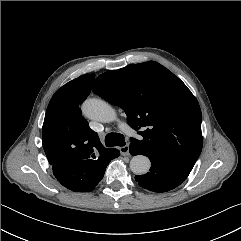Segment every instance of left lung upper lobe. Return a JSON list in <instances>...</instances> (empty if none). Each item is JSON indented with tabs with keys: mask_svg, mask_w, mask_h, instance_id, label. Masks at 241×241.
Segmentation results:
<instances>
[{
	"mask_svg": "<svg viewBox=\"0 0 241 241\" xmlns=\"http://www.w3.org/2000/svg\"><path fill=\"white\" fill-rule=\"evenodd\" d=\"M93 92L121 107L141 140L131 144L152 155L193 168L203 145L202 115L186 85L157 62L132 64L98 76Z\"/></svg>",
	"mask_w": 241,
	"mask_h": 241,
	"instance_id": "1",
	"label": "left lung upper lobe"
}]
</instances>
